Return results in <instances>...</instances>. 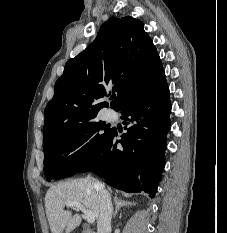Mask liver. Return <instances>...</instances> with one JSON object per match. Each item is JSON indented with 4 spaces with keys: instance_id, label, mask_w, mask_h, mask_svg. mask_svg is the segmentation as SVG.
<instances>
[{
    "instance_id": "obj_1",
    "label": "liver",
    "mask_w": 227,
    "mask_h": 233,
    "mask_svg": "<svg viewBox=\"0 0 227 233\" xmlns=\"http://www.w3.org/2000/svg\"><path fill=\"white\" fill-rule=\"evenodd\" d=\"M68 201L81 203L94 214L96 220L99 219L100 200L95 182L91 178L62 182L51 186L45 196V210L52 233H70L80 225L79 214L72 216L71 211L64 210Z\"/></svg>"
}]
</instances>
